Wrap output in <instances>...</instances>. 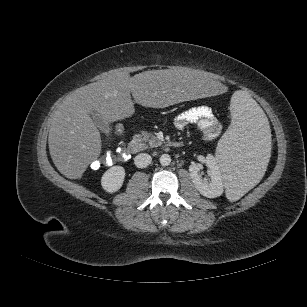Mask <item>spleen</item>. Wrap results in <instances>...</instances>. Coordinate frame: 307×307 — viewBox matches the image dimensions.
I'll return each mask as SVG.
<instances>
[{
    "label": "spleen",
    "mask_w": 307,
    "mask_h": 307,
    "mask_svg": "<svg viewBox=\"0 0 307 307\" xmlns=\"http://www.w3.org/2000/svg\"><path fill=\"white\" fill-rule=\"evenodd\" d=\"M231 125L220 139L216 160L223 171L226 197L240 199L269 169L271 140L267 117L244 91H236L230 104Z\"/></svg>",
    "instance_id": "spleen-1"
}]
</instances>
